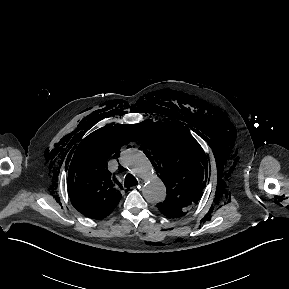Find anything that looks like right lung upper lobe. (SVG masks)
I'll return each instance as SVG.
<instances>
[{
    "mask_svg": "<svg viewBox=\"0 0 289 289\" xmlns=\"http://www.w3.org/2000/svg\"><path fill=\"white\" fill-rule=\"evenodd\" d=\"M127 134V125L101 128L87 136L73 156L68 194L72 205L84 216L102 219L120 202L122 195L113 186L107 160L112 153H119L130 136Z\"/></svg>",
    "mask_w": 289,
    "mask_h": 289,
    "instance_id": "right-lung-upper-lobe-1",
    "label": "right lung upper lobe"
}]
</instances>
